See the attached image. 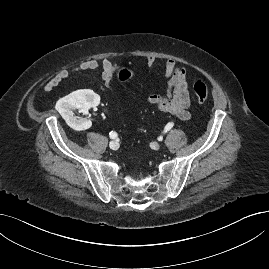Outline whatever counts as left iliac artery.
<instances>
[{
    "label": "left iliac artery",
    "mask_w": 269,
    "mask_h": 269,
    "mask_svg": "<svg viewBox=\"0 0 269 269\" xmlns=\"http://www.w3.org/2000/svg\"><path fill=\"white\" fill-rule=\"evenodd\" d=\"M173 125V122H169L164 128V132L166 133L167 131H169L173 127Z\"/></svg>",
    "instance_id": "1"
}]
</instances>
